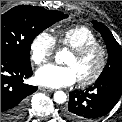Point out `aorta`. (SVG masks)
Listing matches in <instances>:
<instances>
[{"mask_svg": "<svg viewBox=\"0 0 122 122\" xmlns=\"http://www.w3.org/2000/svg\"><path fill=\"white\" fill-rule=\"evenodd\" d=\"M63 51H60L56 54L55 58H56V61L59 60V58L61 57ZM66 94L63 92V91H56L54 93V101L57 103V104H63L65 101H66Z\"/></svg>", "mask_w": 122, "mask_h": 122, "instance_id": "1", "label": "aorta"}]
</instances>
